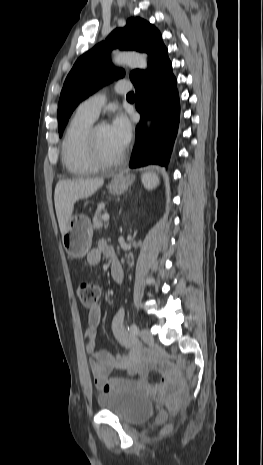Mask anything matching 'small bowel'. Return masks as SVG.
<instances>
[{
  "label": "small bowel",
  "mask_w": 263,
  "mask_h": 465,
  "mask_svg": "<svg viewBox=\"0 0 263 465\" xmlns=\"http://www.w3.org/2000/svg\"><path fill=\"white\" fill-rule=\"evenodd\" d=\"M102 255L114 256L113 251L104 242H101L97 248L92 249L87 254V262L93 266L97 265L101 261ZM101 320V307L95 305L90 308L88 326L84 333L86 350L89 354V366L98 390L107 392L113 389L126 388L158 396L166 385L176 379L172 372L162 370L160 382L151 383L148 380L151 364L143 359L137 342L127 334L124 327L123 308H119L114 314L111 329L116 340L126 347L128 351L126 353L112 354L107 350H97L94 340ZM116 369L124 370L136 378L111 377V373Z\"/></svg>",
  "instance_id": "c3829d8e"
}]
</instances>
